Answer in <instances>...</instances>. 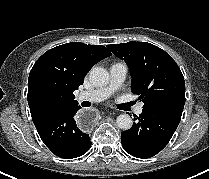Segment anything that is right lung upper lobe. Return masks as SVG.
<instances>
[{"label": "right lung upper lobe", "instance_id": "obj_1", "mask_svg": "<svg viewBox=\"0 0 209 179\" xmlns=\"http://www.w3.org/2000/svg\"><path fill=\"white\" fill-rule=\"evenodd\" d=\"M102 45L72 42L45 52L32 67L27 100L36 129L62 110L78 105L73 92L97 62L109 57Z\"/></svg>", "mask_w": 209, "mask_h": 179}]
</instances>
